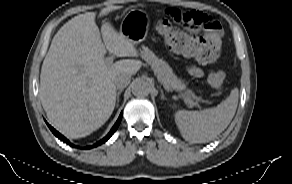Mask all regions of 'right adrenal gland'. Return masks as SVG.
Returning a JSON list of instances; mask_svg holds the SVG:
<instances>
[{"label": "right adrenal gland", "mask_w": 292, "mask_h": 184, "mask_svg": "<svg viewBox=\"0 0 292 184\" xmlns=\"http://www.w3.org/2000/svg\"><path fill=\"white\" fill-rule=\"evenodd\" d=\"M123 90L121 89V90H119L118 92H117V106H118V103H119V97H120V94H121V92H122Z\"/></svg>", "instance_id": "2a0ac1e0"}]
</instances>
